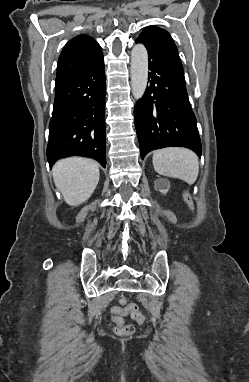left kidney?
Segmentation results:
<instances>
[{
    "mask_svg": "<svg viewBox=\"0 0 249 382\" xmlns=\"http://www.w3.org/2000/svg\"><path fill=\"white\" fill-rule=\"evenodd\" d=\"M155 189L166 194L170 189V182L167 179H157L155 181Z\"/></svg>",
    "mask_w": 249,
    "mask_h": 382,
    "instance_id": "1",
    "label": "left kidney"
}]
</instances>
